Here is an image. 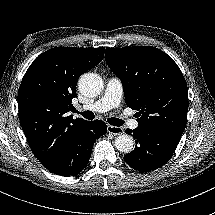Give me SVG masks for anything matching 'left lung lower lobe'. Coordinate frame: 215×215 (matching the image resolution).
I'll use <instances>...</instances> for the list:
<instances>
[{"label":"left lung lower lobe","instance_id":"1","mask_svg":"<svg viewBox=\"0 0 215 215\" xmlns=\"http://www.w3.org/2000/svg\"><path fill=\"white\" fill-rule=\"evenodd\" d=\"M136 140L135 149L125 162L139 172H150L165 165L173 155L183 131L163 128L126 129Z\"/></svg>","mask_w":215,"mask_h":215}]
</instances>
